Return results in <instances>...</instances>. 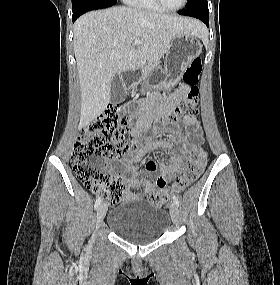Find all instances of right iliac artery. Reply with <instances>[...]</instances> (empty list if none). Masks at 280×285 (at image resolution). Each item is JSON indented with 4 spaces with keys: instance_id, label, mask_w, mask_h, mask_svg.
Instances as JSON below:
<instances>
[{
    "instance_id": "82829eb1",
    "label": "right iliac artery",
    "mask_w": 280,
    "mask_h": 285,
    "mask_svg": "<svg viewBox=\"0 0 280 285\" xmlns=\"http://www.w3.org/2000/svg\"><path fill=\"white\" fill-rule=\"evenodd\" d=\"M101 204V197H98L96 202H95V209H97Z\"/></svg>"
}]
</instances>
